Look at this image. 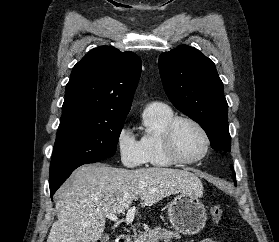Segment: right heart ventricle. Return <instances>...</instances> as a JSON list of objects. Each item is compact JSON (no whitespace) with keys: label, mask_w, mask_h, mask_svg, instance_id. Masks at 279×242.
I'll return each mask as SVG.
<instances>
[{"label":"right heart ventricle","mask_w":279,"mask_h":242,"mask_svg":"<svg viewBox=\"0 0 279 242\" xmlns=\"http://www.w3.org/2000/svg\"><path fill=\"white\" fill-rule=\"evenodd\" d=\"M175 116L173 110L163 104L149 105L143 116L145 130L139 140L144 152L146 163L154 167H170L175 162L167 155L163 132L167 123Z\"/></svg>","instance_id":"1"}]
</instances>
